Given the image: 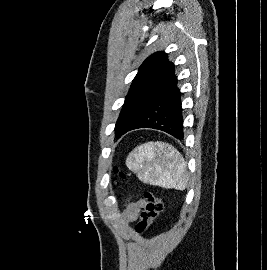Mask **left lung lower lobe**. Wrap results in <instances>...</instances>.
Returning <instances> with one entry per match:
<instances>
[{
	"label": "left lung lower lobe",
	"instance_id": "1",
	"mask_svg": "<svg viewBox=\"0 0 267 270\" xmlns=\"http://www.w3.org/2000/svg\"><path fill=\"white\" fill-rule=\"evenodd\" d=\"M180 95V90L177 88V77L173 74L164 90L140 115L128 131L138 128H153L164 131L177 139H183Z\"/></svg>",
	"mask_w": 267,
	"mask_h": 270
}]
</instances>
